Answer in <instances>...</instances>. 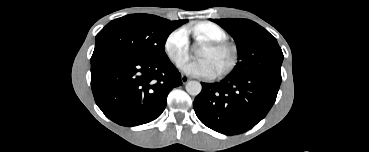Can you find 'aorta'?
I'll list each match as a JSON object with an SVG mask.
<instances>
[{
	"label": "aorta",
	"instance_id": "1",
	"mask_svg": "<svg viewBox=\"0 0 369 152\" xmlns=\"http://www.w3.org/2000/svg\"><path fill=\"white\" fill-rule=\"evenodd\" d=\"M185 88L190 95L197 96L202 90V85L198 81H189Z\"/></svg>",
	"mask_w": 369,
	"mask_h": 152
}]
</instances>
